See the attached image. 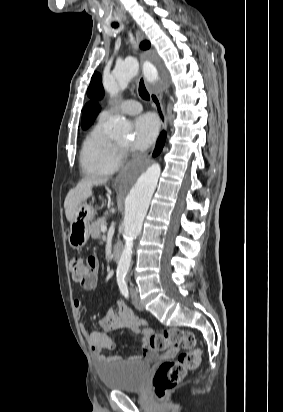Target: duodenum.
<instances>
[{
	"mask_svg": "<svg viewBox=\"0 0 283 412\" xmlns=\"http://www.w3.org/2000/svg\"><path fill=\"white\" fill-rule=\"evenodd\" d=\"M121 246L119 244L114 245L113 249H112V258L115 261H119L121 258Z\"/></svg>",
	"mask_w": 283,
	"mask_h": 412,
	"instance_id": "duodenum-1",
	"label": "duodenum"
}]
</instances>
